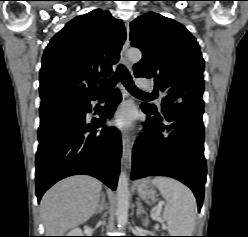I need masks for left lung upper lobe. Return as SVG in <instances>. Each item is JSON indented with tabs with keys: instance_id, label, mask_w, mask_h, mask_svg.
<instances>
[{
	"instance_id": "obj_1",
	"label": "left lung upper lobe",
	"mask_w": 248,
	"mask_h": 237,
	"mask_svg": "<svg viewBox=\"0 0 248 237\" xmlns=\"http://www.w3.org/2000/svg\"><path fill=\"white\" fill-rule=\"evenodd\" d=\"M130 40L143 57L133 67L136 77H153L155 88L167 95L161 111L179 105L203 107L204 60L191 33L180 23L149 12L131 24ZM157 116L156 107L146 104Z\"/></svg>"
}]
</instances>
